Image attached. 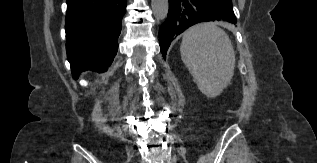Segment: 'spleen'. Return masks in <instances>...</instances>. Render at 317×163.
<instances>
[{
  "label": "spleen",
  "instance_id": "3e777b00",
  "mask_svg": "<svg viewBox=\"0 0 317 163\" xmlns=\"http://www.w3.org/2000/svg\"><path fill=\"white\" fill-rule=\"evenodd\" d=\"M180 53L199 90L206 96H218L229 84L235 68L234 49L228 35L215 23H201L188 29Z\"/></svg>",
  "mask_w": 317,
  "mask_h": 163
}]
</instances>
